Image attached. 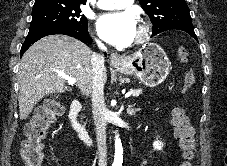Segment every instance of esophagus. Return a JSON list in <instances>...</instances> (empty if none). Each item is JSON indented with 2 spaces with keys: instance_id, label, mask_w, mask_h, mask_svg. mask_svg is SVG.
I'll use <instances>...</instances> for the list:
<instances>
[{
  "instance_id": "1",
  "label": "esophagus",
  "mask_w": 227,
  "mask_h": 166,
  "mask_svg": "<svg viewBox=\"0 0 227 166\" xmlns=\"http://www.w3.org/2000/svg\"><path fill=\"white\" fill-rule=\"evenodd\" d=\"M123 62V59L117 54V53H112L110 56V63L112 65H119Z\"/></svg>"
}]
</instances>
